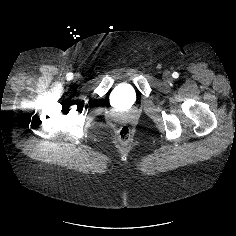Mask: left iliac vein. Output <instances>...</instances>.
Instances as JSON below:
<instances>
[{"instance_id": "left-iliac-vein-1", "label": "left iliac vein", "mask_w": 236, "mask_h": 236, "mask_svg": "<svg viewBox=\"0 0 236 236\" xmlns=\"http://www.w3.org/2000/svg\"><path fill=\"white\" fill-rule=\"evenodd\" d=\"M165 77H166V80H170V75L169 74H166Z\"/></svg>"}]
</instances>
